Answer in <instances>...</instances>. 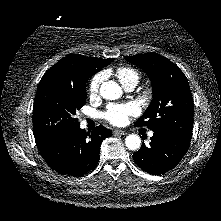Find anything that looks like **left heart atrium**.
Segmentation results:
<instances>
[{
	"mask_svg": "<svg viewBox=\"0 0 221 221\" xmlns=\"http://www.w3.org/2000/svg\"><path fill=\"white\" fill-rule=\"evenodd\" d=\"M139 108L133 103L110 104L103 113L104 119L113 125H124L130 117L138 115Z\"/></svg>",
	"mask_w": 221,
	"mask_h": 221,
	"instance_id": "left-heart-atrium-1",
	"label": "left heart atrium"
}]
</instances>
